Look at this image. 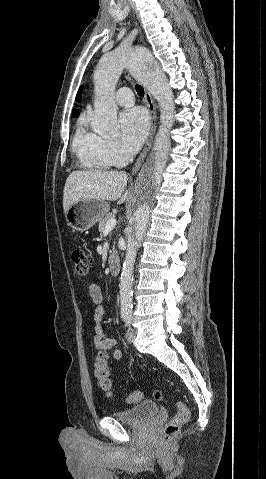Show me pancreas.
I'll return each mask as SVG.
<instances>
[{"instance_id": "obj_1", "label": "pancreas", "mask_w": 266, "mask_h": 479, "mask_svg": "<svg viewBox=\"0 0 266 479\" xmlns=\"http://www.w3.org/2000/svg\"><path fill=\"white\" fill-rule=\"evenodd\" d=\"M114 218V215L112 213H107L105 215V217H103L100 222H99V231L102 232L104 229H105V226L107 224V222Z\"/></svg>"}]
</instances>
